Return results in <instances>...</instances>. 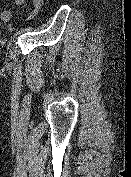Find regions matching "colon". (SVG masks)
I'll list each match as a JSON object with an SVG mask.
<instances>
[{
  "instance_id": "1",
  "label": "colon",
  "mask_w": 131,
  "mask_h": 177,
  "mask_svg": "<svg viewBox=\"0 0 131 177\" xmlns=\"http://www.w3.org/2000/svg\"><path fill=\"white\" fill-rule=\"evenodd\" d=\"M40 4L43 5L44 0H39Z\"/></svg>"
}]
</instances>
